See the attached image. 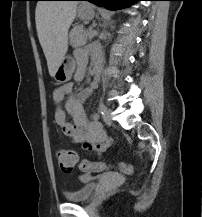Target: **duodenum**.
<instances>
[{"mask_svg":"<svg viewBox=\"0 0 202 217\" xmlns=\"http://www.w3.org/2000/svg\"><path fill=\"white\" fill-rule=\"evenodd\" d=\"M94 80L99 79V67H93Z\"/></svg>","mask_w":202,"mask_h":217,"instance_id":"obj_1","label":"duodenum"}]
</instances>
